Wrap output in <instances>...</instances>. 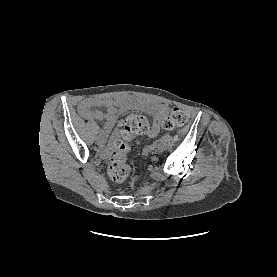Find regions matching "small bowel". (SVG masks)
<instances>
[{"instance_id":"small-bowel-1","label":"small bowel","mask_w":277,"mask_h":277,"mask_svg":"<svg viewBox=\"0 0 277 277\" xmlns=\"http://www.w3.org/2000/svg\"><path fill=\"white\" fill-rule=\"evenodd\" d=\"M143 103L139 100L130 97L111 98H86L82 100L78 106V111L82 117L89 121H103L104 126L101 131V136H105L115 126L119 115L128 109H139ZM106 108L105 112L97 110L96 108ZM148 109L154 118V126L149 133V137H156L161 128V122L166 114V106L163 104L151 103L148 104ZM120 131L116 129L113 132V138L118 137Z\"/></svg>"}]
</instances>
